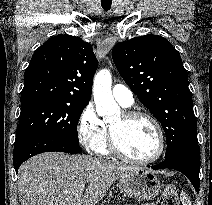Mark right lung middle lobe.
I'll return each mask as SVG.
<instances>
[{
	"label": "right lung middle lobe",
	"mask_w": 212,
	"mask_h": 205,
	"mask_svg": "<svg viewBox=\"0 0 212 205\" xmlns=\"http://www.w3.org/2000/svg\"><path fill=\"white\" fill-rule=\"evenodd\" d=\"M14 145L33 137H58L79 144L77 124L87 104L52 99L21 101Z\"/></svg>",
	"instance_id": "obj_1"
}]
</instances>
